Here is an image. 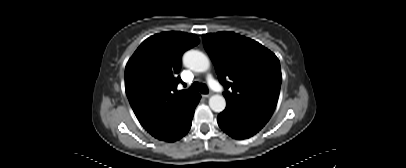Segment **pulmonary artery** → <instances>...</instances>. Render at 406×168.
Here are the masks:
<instances>
[{
  "label": "pulmonary artery",
  "instance_id": "obj_1",
  "mask_svg": "<svg viewBox=\"0 0 406 168\" xmlns=\"http://www.w3.org/2000/svg\"><path fill=\"white\" fill-rule=\"evenodd\" d=\"M207 81L213 90H215L217 92H222L224 90L223 87L217 81H215L211 76L207 77Z\"/></svg>",
  "mask_w": 406,
  "mask_h": 168
}]
</instances>
